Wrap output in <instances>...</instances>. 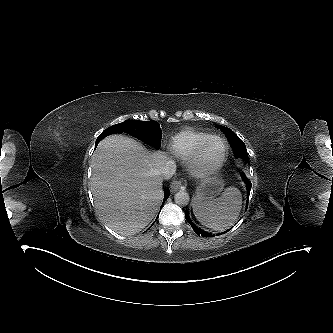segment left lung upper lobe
Instances as JSON below:
<instances>
[{"label": "left lung upper lobe", "instance_id": "5c2ea615", "mask_svg": "<svg viewBox=\"0 0 333 333\" xmlns=\"http://www.w3.org/2000/svg\"><path fill=\"white\" fill-rule=\"evenodd\" d=\"M217 128L222 130L227 136L234 154L237 158H243L245 162L248 161L247 150L244 142L229 128L218 125Z\"/></svg>", "mask_w": 333, "mask_h": 333}]
</instances>
